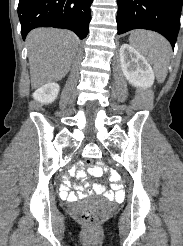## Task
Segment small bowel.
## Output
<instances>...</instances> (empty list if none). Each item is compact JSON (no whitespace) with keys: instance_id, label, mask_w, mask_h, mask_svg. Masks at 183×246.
Here are the masks:
<instances>
[{"instance_id":"c3829d8e","label":"small bowel","mask_w":183,"mask_h":246,"mask_svg":"<svg viewBox=\"0 0 183 246\" xmlns=\"http://www.w3.org/2000/svg\"><path fill=\"white\" fill-rule=\"evenodd\" d=\"M104 162H97L96 166L90 167L89 172L92 174L93 178H100L101 174H111L110 178H108V183L112 184V189L115 192L108 191L106 187L102 184H93L90 186L89 183H85L84 186L76 185L75 188L78 191L77 194L69 193L70 183L68 179H86V174L83 166L79 165H70V169H66V174L62 175L64 179L63 184H59L58 188L61 189L60 193H58V198H64L68 200H76L78 198L85 197L88 194L95 193L98 195H103L107 199L110 200H120L124 196L123 189H125V184H121L119 179L121 178L120 174H116V169H102L104 167Z\"/></svg>"}]
</instances>
